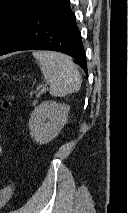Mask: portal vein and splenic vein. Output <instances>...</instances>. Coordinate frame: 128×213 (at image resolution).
Masks as SVG:
<instances>
[{
	"mask_svg": "<svg viewBox=\"0 0 128 213\" xmlns=\"http://www.w3.org/2000/svg\"><path fill=\"white\" fill-rule=\"evenodd\" d=\"M47 90V86H44L41 90L36 91V97H40L42 93H44Z\"/></svg>",
	"mask_w": 128,
	"mask_h": 213,
	"instance_id": "1",
	"label": "portal vein and splenic vein"
}]
</instances>
